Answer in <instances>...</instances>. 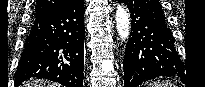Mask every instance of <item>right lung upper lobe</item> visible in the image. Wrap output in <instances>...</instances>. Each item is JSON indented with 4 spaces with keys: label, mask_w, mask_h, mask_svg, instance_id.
<instances>
[{
    "label": "right lung upper lobe",
    "mask_w": 205,
    "mask_h": 87,
    "mask_svg": "<svg viewBox=\"0 0 205 87\" xmlns=\"http://www.w3.org/2000/svg\"><path fill=\"white\" fill-rule=\"evenodd\" d=\"M74 0H37L35 16L47 14L66 7Z\"/></svg>",
    "instance_id": "cb5924a9"
}]
</instances>
